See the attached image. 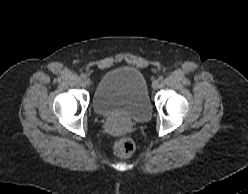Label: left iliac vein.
Returning <instances> with one entry per match:
<instances>
[{"label":"left iliac vein","instance_id":"1","mask_svg":"<svg viewBox=\"0 0 248 194\" xmlns=\"http://www.w3.org/2000/svg\"><path fill=\"white\" fill-rule=\"evenodd\" d=\"M152 87H153L154 89H158V87H159V81H158V80H154V81L152 82Z\"/></svg>","mask_w":248,"mask_h":194}]
</instances>
